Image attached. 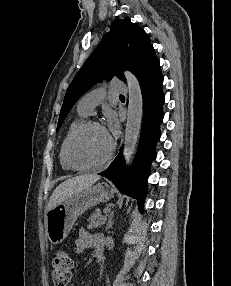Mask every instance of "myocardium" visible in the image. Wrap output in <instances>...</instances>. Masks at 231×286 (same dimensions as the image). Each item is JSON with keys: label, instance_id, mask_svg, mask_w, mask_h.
<instances>
[{"label": "myocardium", "instance_id": "obj_1", "mask_svg": "<svg viewBox=\"0 0 231 286\" xmlns=\"http://www.w3.org/2000/svg\"><path fill=\"white\" fill-rule=\"evenodd\" d=\"M90 127H99L102 128L104 130H106L104 128V126L99 123L98 121L95 120H87L84 121L83 123H81L68 137L66 145H65V161L67 163V165L72 169V170H79V171H84V170H89V169H94V168H98L101 166H104L105 164H107L110 159L112 158L114 152H115V148H116V143L114 141L113 138H111V147L110 150L108 151L107 155L100 161L98 162H94V163H88V164H79L77 163L73 157H72V146L73 143L75 141V139L82 133L84 132L86 129L90 128Z\"/></svg>", "mask_w": 231, "mask_h": 286}]
</instances>
